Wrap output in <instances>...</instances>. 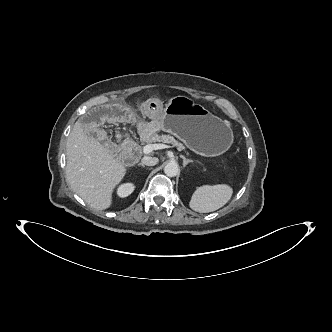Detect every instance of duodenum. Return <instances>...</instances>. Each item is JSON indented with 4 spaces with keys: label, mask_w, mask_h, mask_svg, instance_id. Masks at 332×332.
I'll list each match as a JSON object with an SVG mask.
<instances>
[{
    "label": "duodenum",
    "mask_w": 332,
    "mask_h": 332,
    "mask_svg": "<svg viewBox=\"0 0 332 332\" xmlns=\"http://www.w3.org/2000/svg\"><path fill=\"white\" fill-rule=\"evenodd\" d=\"M123 155L129 160H133L136 156L133 151H129V150H124Z\"/></svg>",
    "instance_id": "410a0bca"
}]
</instances>
